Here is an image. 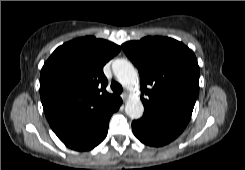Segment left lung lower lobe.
<instances>
[{
    "label": "left lung lower lobe",
    "mask_w": 245,
    "mask_h": 170,
    "mask_svg": "<svg viewBox=\"0 0 245 170\" xmlns=\"http://www.w3.org/2000/svg\"><path fill=\"white\" fill-rule=\"evenodd\" d=\"M189 121L155 109L144 108L139 120L132 122L134 135L144 144L163 146L177 138Z\"/></svg>",
    "instance_id": "0a47b994"
}]
</instances>
